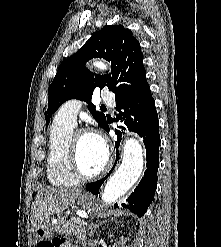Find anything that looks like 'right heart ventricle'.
Instances as JSON below:
<instances>
[{
  "label": "right heart ventricle",
  "mask_w": 221,
  "mask_h": 247,
  "mask_svg": "<svg viewBox=\"0 0 221 247\" xmlns=\"http://www.w3.org/2000/svg\"><path fill=\"white\" fill-rule=\"evenodd\" d=\"M73 128L55 117L50 129L46 172L49 182L54 186L67 187L79 182L69 163V144Z\"/></svg>",
  "instance_id": "right-heart-ventricle-1"
}]
</instances>
